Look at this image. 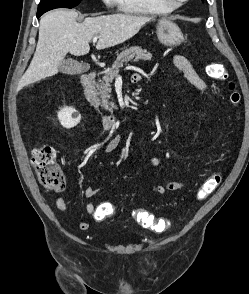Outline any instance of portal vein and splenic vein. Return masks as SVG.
<instances>
[{"label": "portal vein and splenic vein", "instance_id": "18ae733b", "mask_svg": "<svg viewBox=\"0 0 249 294\" xmlns=\"http://www.w3.org/2000/svg\"><path fill=\"white\" fill-rule=\"evenodd\" d=\"M98 38H99L98 36H94L93 37V42L96 43Z\"/></svg>", "mask_w": 249, "mask_h": 294}]
</instances>
